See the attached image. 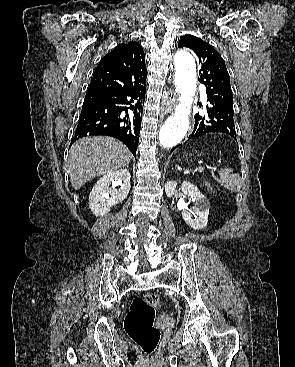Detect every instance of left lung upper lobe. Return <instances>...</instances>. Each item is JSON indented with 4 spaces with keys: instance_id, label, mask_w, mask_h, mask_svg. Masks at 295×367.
<instances>
[{
    "instance_id": "1",
    "label": "left lung upper lobe",
    "mask_w": 295,
    "mask_h": 367,
    "mask_svg": "<svg viewBox=\"0 0 295 367\" xmlns=\"http://www.w3.org/2000/svg\"><path fill=\"white\" fill-rule=\"evenodd\" d=\"M178 47L192 49L199 58V81L206 86L207 99L225 101L233 105V93L225 62L209 43L193 35L180 38Z\"/></svg>"
}]
</instances>
